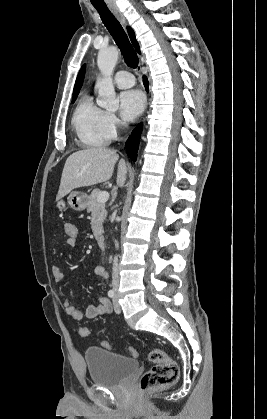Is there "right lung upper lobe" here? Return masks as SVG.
<instances>
[{
  "label": "right lung upper lobe",
  "mask_w": 267,
  "mask_h": 419,
  "mask_svg": "<svg viewBox=\"0 0 267 419\" xmlns=\"http://www.w3.org/2000/svg\"><path fill=\"white\" fill-rule=\"evenodd\" d=\"M127 29H128L130 39H131L135 49L138 51V53H140V48H139L138 42L135 39L134 31L130 27H128ZM84 74H85V65L82 66V68L79 71V74L77 76L75 86H74V90H73V96L79 94V90H80V88L82 86V83H83Z\"/></svg>",
  "instance_id": "cb5924a9"
}]
</instances>
